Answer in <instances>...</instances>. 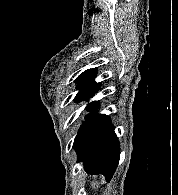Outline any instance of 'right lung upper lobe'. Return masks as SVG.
Listing matches in <instances>:
<instances>
[{
  "instance_id": "right-lung-upper-lobe-1",
  "label": "right lung upper lobe",
  "mask_w": 178,
  "mask_h": 195,
  "mask_svg": "<svg viewBox=\"0 0 178 195\" xmlns=\"http://www.w3.org/2000/svg\"><path fill=\"white\" fill-rule=\"evenodd\" d=\"M96 68L84 71L77 79L79 92L77 96H93L98 91L100 83L95 82Z\"/></svg>"
}]
</instances>
